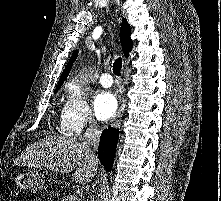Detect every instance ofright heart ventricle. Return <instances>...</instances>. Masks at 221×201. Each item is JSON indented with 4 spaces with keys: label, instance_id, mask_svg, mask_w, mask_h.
<instances>
[{
    "label": "right heart ventricle",
    "instance_id": "e07e8e85",
    "mask_svg": "<svg viewBox=\"0 0 221 201\" xmlns=\"http://www.w3.org/2000/svg\"><path fill=\"white\" fill-rule=\"evenodd\" d=\"M63 112H64V110H63ZM63 112L61 114V125H62V127H63Z\"/></svg>",
    "mask_w": 221,
    "mask_h": 201
}]
</instances>
